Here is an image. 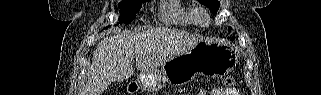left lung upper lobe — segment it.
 Instances as JSON below:
<instances>
[{
  "label": "left lung upper lobe",
  "instance_id": "5c2ea615",
  "mask_svg": "<svg viewBox=\"0 0 321 95\" xmlns=\"http://www.w3.org/2000/svg\"><path fill=\"white\" fill-rule=\"evenodd\" d=\"M201 4L206 5L213 12H217L220 7V2L218 0H198ZM231 30V27H229Z\"/></svg>",
  "mask_w": 321,
  "mask_h": 95
}]
</instances>
